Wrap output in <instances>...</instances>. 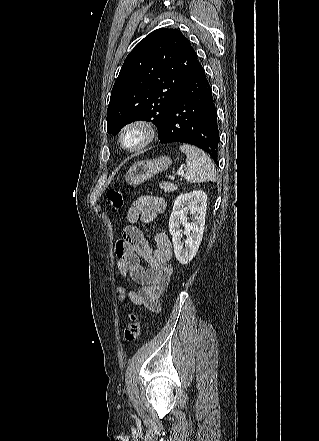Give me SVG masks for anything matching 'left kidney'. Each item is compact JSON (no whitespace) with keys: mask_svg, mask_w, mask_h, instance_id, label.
Returning <instances> with one entry per match:
<instances>
[{"mask_svg":"<svg viewBox=\"0 0 319 441\" xmlns=\"http://www.w3.org/2000/svg\"><path fill=\"white\" fill-rule=\"evenodd\" d=\"M207 207V195L203 191L180 194L173 205L169 220L174 253L181 264L189 263L196 255L202 241ZM192 215V222L187 216ZM183 226L184 229L180 228ZM186 236L185 248L182 235Z\"/></svg>","mask_w":319,"mask_h":441,"instance_id":"left-kidney-1","label":"left kidney"}]
</instances>
